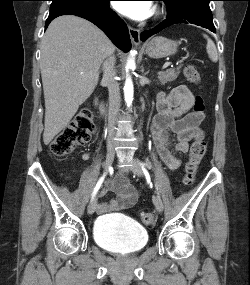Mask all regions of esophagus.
Wrapping results in <instances>:
<instances>
[{"instance_id": "esophagus-1", "label": "esophagus", "mask_w": 250, "mask_h": 285, "mask_svg": "<svg viewBox=\"0 0 250 285\" xmlns=\"http://www.w3.org/2000/svg\"><path fill=\"white\" fill-rule=\"evenodd\" d=\"M129 34L133 44L138 45L140 43V31L136 28L129 27Z\"/></svg>"}]
</instances>
